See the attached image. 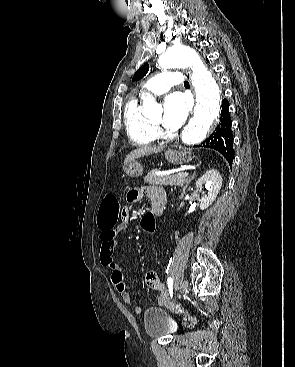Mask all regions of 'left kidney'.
Wrapping results in <instances>:
<instances>
[{
    "mask_svg": "<svg viewBox=\"0 0 295 367\" xmlns=\"http://www.w3.org/2000/svg\"><path fill=\"white\" fill-rule=\"evenodd\" d=\"M203 186H205V189L208 192L207 194H204L203 192L199 200L201 210L208 208L216 199L222 186V177L220 173L215 169L208 170L196 181L197 190L201 192Z\"/></svg>",
    "mask_w": 295,
    "mask_h": 367,
    "instance_id": "5707ae66",
    "label": "left kidney"
}]
</instances>
